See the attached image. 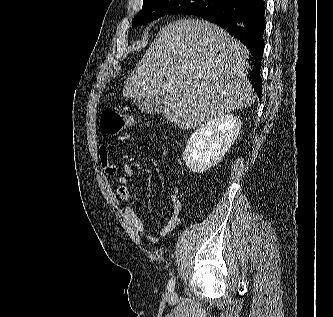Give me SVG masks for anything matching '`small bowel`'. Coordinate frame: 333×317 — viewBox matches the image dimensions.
I'll return each mask as SVG.
<instances>
[{
	"mask_svg": "<svg viewBox=\"0 0 333 317\" xmlns=\"http://www.w3.org/2000/svg\"><path fill=\"white\" fill-rule=\"evenodd\" d=\"M130 139V134H123L119 136V140L122 142ZM99 159L102 169L106 174L111 176L117 174L118 168L110 159L108 149L105 145H102L99 149ZM122 171L123 174L117 181V196L124 204L125 215L135 230L142 234L145 239L151 243H158L163 237L168 235L179 222L182 204L178 196V188L175 187L171 189L169 193V198L172 204L170 219L157 233H152L146 228L144 222L138 217L133 205L131 204V192L128 183L134 174L133 166L130 163H125L122 167Z\"/></svg>",
	"mask_w": 333,
	"mask_h": 317,
	"instance_id": "1",
	"label": "small bowel"
}]
</instances>
